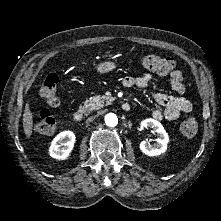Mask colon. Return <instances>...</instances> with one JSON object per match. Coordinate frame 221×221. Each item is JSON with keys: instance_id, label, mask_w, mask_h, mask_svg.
I'll return each mask as SVG.
<instances>
[{"instance_id": "5ec220e1", "label": "colon", "mask_w": 221, "mask_h": 221, "mask_svg": "<svg viewBox=\"0 0 221 221\" xmlns=\"http://www.w3.org/2000/svg\"><path fill=\"white\" fill-rule=\"evenodd\" d=\"M143 67L153 73L160 75L172 73L174 71V62L171 58L161 55H149L142 61ZM59 79L55 73L47 75L40 88L41 96L46 99L51 107H58L60 99L57 94ZM57 121L47 110L40 112L35 130L40 135H51L55 132ZM180 130L185 137H193L198 131V121L195 117H187L180 125Z\"/></svg>"}]
</instances>
